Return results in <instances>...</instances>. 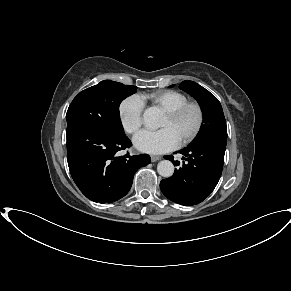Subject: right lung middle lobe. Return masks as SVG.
I'll return each mask as SVG.
<instances>
[{
	"instance_id": "obj_1",
	"label": "right lung middle lobe",
	"mask_w": 291,
	"mask_h": 291,
	"mask_svg": "<svg viewBox=\"0 0 291 291\" xmlns=\"http://www.w3.org/2000/svg\"><path fill=\"white\" fill-rule=\"evenodd\" d=\"M136 88L104 80L81 91L67 110V127H83L100 134L124 133L119 105L123 99L135 93Z\"/></svg>"
}]
</instances>
